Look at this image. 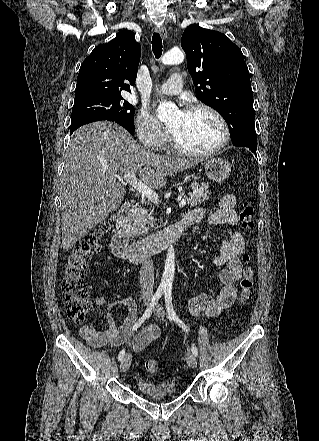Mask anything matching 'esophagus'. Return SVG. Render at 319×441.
<instances>
[{"mask_svg": "<svg viewBox=\"0 0 319 441\" xmlns=\"http://www.w3.org/2000/svg\"><path fill=\"white\" fill-rule=\"evenodd\" d=\"M156 30L160 33L163 40L167 39V31L164 26H159Z\"/></svg>", "mask_w": 319, "mask_h": 441, "instance_id": "obj_1", "label": "esophagus"}]
</instances>
